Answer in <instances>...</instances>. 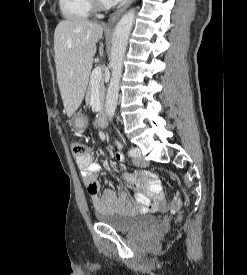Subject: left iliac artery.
Masks as SVG:
<instances>
[{
    "mask_svg": "<svg viewBox=\"0 0 247 275\" xmlns=\"http://www.w3.org/2000/svg\"><path fill=\"white\" fill-rule=\"evenodd\" d=\"M116 144H117L119 149L123 148V145L120 142L117 141ZM128 155L131 156V157H136V152L133 149H130L128 151Z\"/></svg>",
    "mask_w": 247,
    "mask_h": 275,
    "instance_id": "left-iliac-artery-1",
    "label": "left iliac artery"
}]
</instances>
